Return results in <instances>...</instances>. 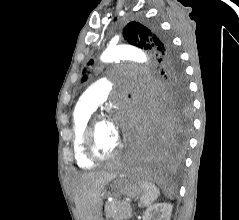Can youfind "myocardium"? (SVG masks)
Wrapping results in <instances>:
<instances>
[{
    "label": "myocardium",
    "mask_w": 239,
    "mask_h": 220,
    "mask_svg": "<svg viewBox=\"0 0 239 220\" xmlns=\"http://www.w3.org/2000/svg\"><path fill=\"white\" fill-rule=\"evenodd\" d=\"M106 118L102 115H93L88 120L87 126L84 132V149L87 156L93 161H106L114 158L119 154L124 144L119 140L117 146L113 151L108 154H101L98 152L95 144V127L98 122L105 121Z\"/></svg>",
    "instance_id": "1"
}]
</instances>
